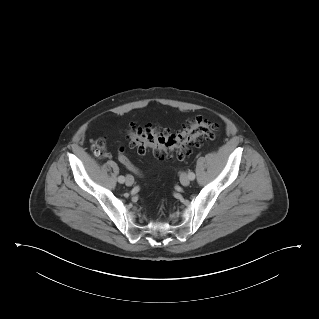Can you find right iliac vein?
<instances>
[{"instance_id": "obj_1", "label": "right iliac vein", "mask_w": 319, "mask_h": 319, "mask_svg": "<svg viewBox=\"0 0 319 319\" xmlns=\"http://www.w3.org/2000/svg\"><path fill=\"white\" fill-rule=\"evenodd\" d=\"M125 183H126L127 186H132L133 183H134V178H133L131 175H128V176L126 177Z\"/></svg>"}]
</instances>
